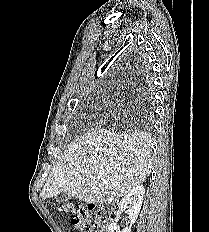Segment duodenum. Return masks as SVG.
<instances>
[{
	"mask_svg": "<svg viewBox=\"0 0 209 232\" xmlns=\"http://www.w3.org/2000/svg\"><path fill=\"white\" fill-rule=\"evenodd\" d=\"M95 226L98 232H106L107 230L108 223L106 221V217L104 216L102 209L98 212V221Z\"/></svg>",
	"mask_w": 209,
	"mask_h": 232,
	"instance_id": "obj_1",
	"label": "duodenum"
}]
</instances>
